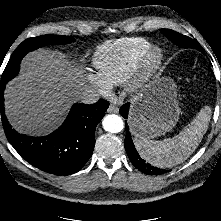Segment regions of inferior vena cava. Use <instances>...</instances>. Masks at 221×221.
Segmentation results:
<instances>
[{
  "label": "inferior vena cava",
  "mask_w": 221,
  "mask_h": 221,
  "mask_svg": "<svg viewBox=\"0 0 221 221\" xmlns=\"http://www.w3.org/2000/svg\"><path fill=\"white\" fill-rule=\"evenodd\" d=\"M76 99L85 104H93L100 99V94L90 86H83L76 94Z\"/></svg>",
  "instance_id": "1"
}]
</instances>
